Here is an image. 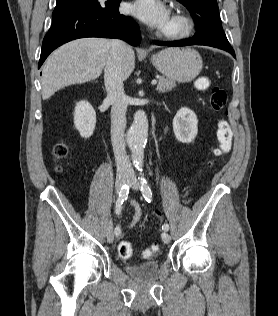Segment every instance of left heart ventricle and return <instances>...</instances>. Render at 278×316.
Listing matches in <instances>:
<instances>
[{
    "label": "left heart ventricle",
    "mask_w": 278,
    "mask_h": 316,
    "mask_svg": "<svg viewBox=\"0 0 278 316\" xmlns=\"http://www.w3.org/2000/svg\"><path fill=\"white\" fill-rule=\"evenodd\" d=\"M171 21H170V18H168V20H167V22L165 23V25L164 26H171Z\"/></svg>",
    "instance_id": "obj_1"
}]
</instances>
